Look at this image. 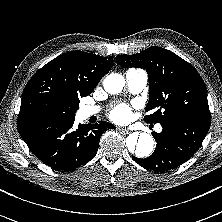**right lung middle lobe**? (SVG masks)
Returning a JSON list of instances; mask_svg holds the SVG:
<instances>
[{
	"instance_id": "obj_1",
	"label": "right lung middle lobe",
	"mask_w": 222,
	"mask_h": 222,
	"mask_svg": "<svg viewBox=\"0 0 222 222\" xmlns=\"http://www.w3.org/2000/svg\"><path fill=\"white\" fill-rule=\"evenodd\" d=\"M78 108H79V102L75 104L74 109L72 111L71 117L73 119H75V112L78 110ZM63 113L64 112L57 107H51L48 110V116L50 117V119H53V120H60V121L66 120L67 117Z\"/></svg>"
}]
</instances>
